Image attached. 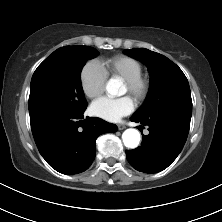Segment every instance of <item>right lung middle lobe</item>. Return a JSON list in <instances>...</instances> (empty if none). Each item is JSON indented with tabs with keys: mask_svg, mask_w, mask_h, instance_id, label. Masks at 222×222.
I'll use <instances>...</instances> for the list:
<instances>
[{
	"mask_svg": "<svg viewBox=\"0 0 222 222\" xmlns=\"http://www.w3.org/2000/svg\"><path fill=\"white\" fill-rule=\"evenodd\" d=\"M89 46H66L54 51L34 72L29 96L30 118L47 112H81L87 101L80 73L98 55Z\"/></svg>",
	"mask_w": 222,
	"mask_h": 222,
	"instance_id": "dd1d6c3e",
	"label": "right lung middle lobe"
}]
</instances>
